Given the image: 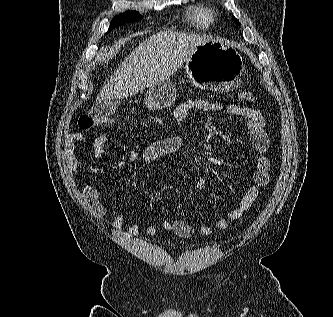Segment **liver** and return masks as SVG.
Returning <instances> with one entry per match:
<instances>
[{
  "label": "liver",
  "instance_id": "obj_1",
  "mask_svg": "<svg viewBox=\"0 0 333 317\" xmlns=\"http://www.w3.org/2000/svg\"><path fill=\"white\" fill-rule=\"evenodd\" d=\"M213 39L208 35L161 31L139 44L100 90L99 102L129 97L169 79L197 46ZM92 110L90 111V113Z\"/></svg>",
  "mask_w": 333,
  "mask_h": 317
}]
</instances>
